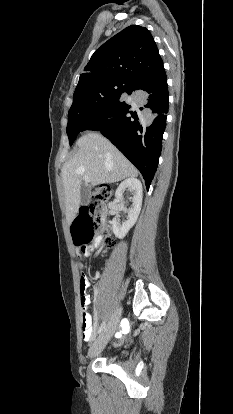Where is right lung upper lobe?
<instances>
[{
    "label": "right lung upper lobe",
    "mask_w": 233,
    "mask_h": 414,
    "mask_svg": "<svg viewBox=\"0 0 233 414\" xmlns=\"http://www.w3.org/2000/svg\"><path fill=\"white\" fill-rule=\"evenodd\" d=\"M163 69V61L149 30L131 25L94 52L74 93L101 81L131 82Z\"/></svg>",
    "instance_id": "1"
}]
</instances>
